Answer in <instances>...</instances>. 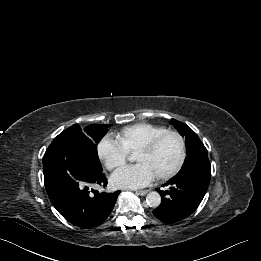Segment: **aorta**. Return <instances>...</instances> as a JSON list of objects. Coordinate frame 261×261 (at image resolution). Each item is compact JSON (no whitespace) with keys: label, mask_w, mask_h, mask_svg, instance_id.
<instances>
[{"label":"aorta","mask_w":261,"mask_h":261,"mask_svg":"<svg viewBox=\"0 0 261 261\" xmlns=\"http://www.w3.org/2000/svg\"><path fill=\"white\" fill-rule=\"evenodd\" d=\"M146 203L148 206L156 208L161 204V196L158 192L152 191L146 196Z\"/></svg>","instance_id":"762f6f07"}]
</instances>
